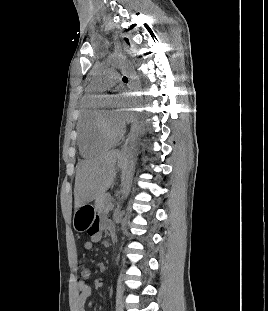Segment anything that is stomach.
<instances>
[{
  "mask_svg": "<svg viewBox=\"0 0 268 311\" xmlns=\"http://www.w3.org/2000/svg\"><path fill=\"white\" fill-rule=\"evenodd\" d=\"M126 164V158L121 157L118 160V167L122 168ZM94 210L89 205H83L77 208L73 216V227L77 232L87 231L93 223Z\"/></svg>",
  "mask_w": 268,
  "mask_h": 311,
  "instance_id": "obj_1",
  "label": "stomach"
}]
</instances>
